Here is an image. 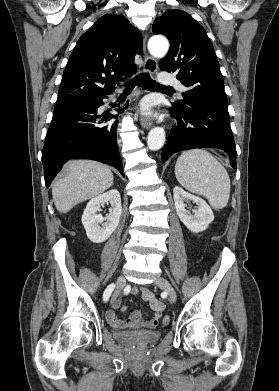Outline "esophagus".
Listing matches in <instances>:
<instances>
[{
    "label": "esophagus",
    "instance_id": "34e87169",
    "mask_svg": "<svg viewBox=\"0 0 279 391\" xmlns=\"http://www.w3.org/2000/svg\"><path fill=\"white\" fill-rule=\"evenodd\" d=\"M145 41H146V36L144 39V52L146 51ZM157 69H158L157 61L153 57L145 55V57H144V70L150 74H154L157 72ZM140 123H141V126L145 129H149L153 125L152 120L147 117H142L140 120Z\"/></svg>",
    "mask_w": 279,
    "mask_h": 391
}]
</instances>
